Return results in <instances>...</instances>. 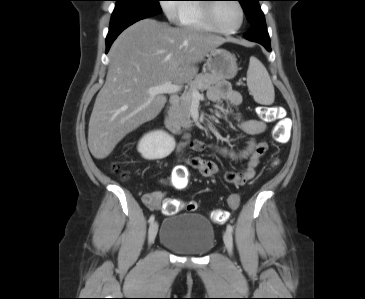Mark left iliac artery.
Instances as JSON below:
<instances>
[{
  "instance_id": "44dca946",
  "label": "left iliac artery",
  "mask_w": 365,
  "mask_h": 299,
  "mask_svg": "<svg viewBox=\"0 0 365 299\" xmlns=\"http://www.w3.org/2000/svg\"><path fill=\"white\" fill-rule=\"evenodd\" d=\"M227 230L230 231V232H233V226L228 224L227 225Z\"/></svg>"
}]
</instances>
